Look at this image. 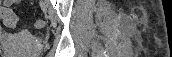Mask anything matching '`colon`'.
I'll use <instances>...</instances> for the list:
<instances>
[{
    "label": "colon",
    "instance_id": "obj_1",
    "mask_svg": "<svg viewBox=\"0 0 172 57\" xmlns=\"http://www.w3.org/2000/svg\"><path fill=\"white\" fill-rule=\"evenodd\" d=\"M0 18L3 20L5 25L9 28H15L18 24V17L13 13V11L10 8L1 7ZM34 26L37 29H42L45 26V22L43 20H37Z\"/></svg>",
    "mask_w": 172,
    "mask_h": 57
}]
</instances>
